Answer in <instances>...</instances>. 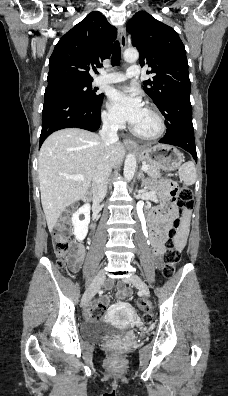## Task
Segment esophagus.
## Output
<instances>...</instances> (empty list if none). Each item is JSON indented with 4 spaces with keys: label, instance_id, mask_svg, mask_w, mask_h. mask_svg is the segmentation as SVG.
Here are the masks:
<instances>
[{
    "label": "esophagus",
    "instance_id": "34e87169",
    "mask_svg": "<svg viewBox=\"0 0 228 396\" xmlns=\"http://www.w3.org/2000/svg\"><path fill=\"white\" fill-rule=\"evenodd\" d=\"M118 37H119V41H120V45L122 48L126 47V31L125 28L123 26H120L118 28ZM123 144L127 147H131V148H136L137 144L129 139H125L123 140Z\"/></svg>",
    "mask_w": 228,
    "mask_h": 396
}]
</instances>
